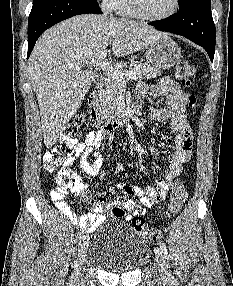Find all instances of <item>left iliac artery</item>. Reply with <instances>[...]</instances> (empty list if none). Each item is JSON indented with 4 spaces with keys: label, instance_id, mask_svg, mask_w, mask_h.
I'll list each match as a JSON object with an SVG mask.
<instances>
[{
    "label": "left iliac artery",
    "instance_id": "44dca946",
    "mask_svg": "<svg viewBox=\"0 0 233 286\" xmlns=\"http://www.w3.org/2000/svg\"><path fill=\"white\" fill-rule=\"evenodd\" d=\"M159 246H160L161 250L163 251L164 255L167 256L168 255V250H167V246H166V244H165V242L163 240H161L159 242Z\"/></svg>",
    "mask_w": 233,
    "mask_h": 286
}]
</instances>
